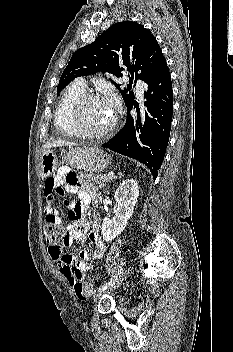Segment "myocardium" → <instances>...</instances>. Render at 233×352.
I'll return each mask as SVG.
<instances>
[{
  "label": "myocardium",
  "instance_id": "myocardium-1",
  "mask_svg": "<svg viewBox=\"0 0 233 352\" xmlns=\"http://www.w3.org/2000/svg\"><path fill=\"white\" fill-rule=\"evenodd\" d=\"M93 100H103V98L100 95L95 93H84L82 96H80L72 107L71 114H70V122L77 136H80L83 138L99 139L109 135L116 128L117 122H118V116L115 113L112 123L104 130L96 131V132L86 130L81 123L82 110L86 103Z\"/></svg>",
  "mask_w": 233,
  "mask_h": 352
}]
</instances>
